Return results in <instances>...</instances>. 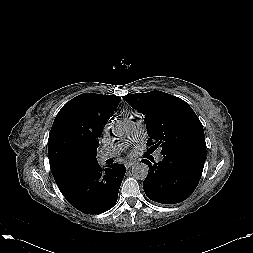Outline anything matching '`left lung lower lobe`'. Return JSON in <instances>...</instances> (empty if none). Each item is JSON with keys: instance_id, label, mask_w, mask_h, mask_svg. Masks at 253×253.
Here are the masks:
<instances>
[{"instance_id": "1", "label": "left lung lower lobe", "mask_w": 253, "mask_h": 253, "mask_svg": "<svg viewBox=\"0 0 253 253\" xmlns=\"http://www.w3.org/2000/svg\"><path fill=\"white\" fill-rule=\"evenodd\" d=\"M162 155L163 160L158 163L142 160L150 169L143 182L145 194L162 204L182 202L196 189L207 154L180 151Z\"/></svg>"}]
</instances>
